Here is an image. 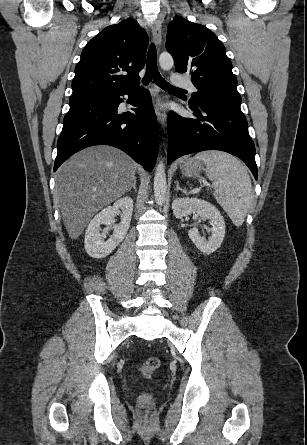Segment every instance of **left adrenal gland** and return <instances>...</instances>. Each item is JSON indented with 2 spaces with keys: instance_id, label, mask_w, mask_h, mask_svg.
<instances>
[{
  "instance_id": "left-adrenal-gland-1",
  "label": "left adrenal gland",
  "mask_w": 307,
  "mask_h": 445,
  "mask_svg": "<svg viewBox=\"0 0 307 445\" xmlns=\"http://www.w3.org/2000/svg\"><path fill=\"white\" fill-rule=\"evenodd\" d=\"M175 182H176L175 190H182V192H186L185 188H181V186H179V180H175Z\"/></svg>"
}]
</instances>
